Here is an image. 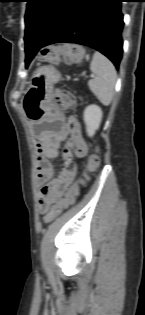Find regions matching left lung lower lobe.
I'll return each mask as SVG.
<instances>
[{
    "mask_svg": "<svg viewBox=\"0 0 145 315\" xmlns=\"http://www.w3.org/2000/svg\"><path fill=\"white\" fill-rule=\"evenodd\" d=\"M123 1L73 0L44 41L36 35H25L26 66L47 45L77 43L101 52L118 69L123 53Z\"/></svg>",
    "mask_w": 145,
    "mask_h": 315,
    "instance_id": "left-lung-lower-lobe-1",
    "label": "left lung lower lobe"
}]
</instances>
